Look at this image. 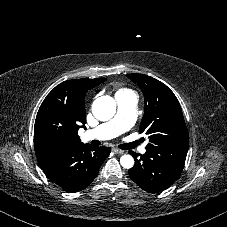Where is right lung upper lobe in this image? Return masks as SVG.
Returning <instances> with one entry per match:
<instances>
[{"label":"right lung upper lobe","instance_id":"1","mask_svg":"<svg viewBox=\"0 0 227 227\" xmlns=\"http://www.w3.org/2000/svg\"><path fill=\"white\" fill-rule=\"evenodd\" d=\"M106 79H74L57 85L41 104L34 126V147L39 165L69 152L83 144L78 135L60 142L47 141L42 134L45 123H56L73 128L76 132L85 127L86 113L84 98L86 92Z\"/></svg>","mask_w":227,"mask_h":227}]
</instances>
